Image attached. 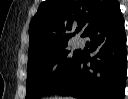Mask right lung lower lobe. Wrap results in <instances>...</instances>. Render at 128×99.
Masks as SVG:
<instances>
[{"label": "right lung lower lobe", "instance_id": "1", "mask_svg": "<svg viewBox=\"0 0 128 99\" xmlns=\"http://www.w3.org/2000/svg\"><path fill=\"white\" fill-rule=\"evenodd\" d=\"M86 36L91 39L89 50L96 56L89 58L81 52L69 77L55 93L79 99H124L127 52L119 5Z\"/></svg>", "mask_w": 128, "mask_h": 99}]
</instances>
